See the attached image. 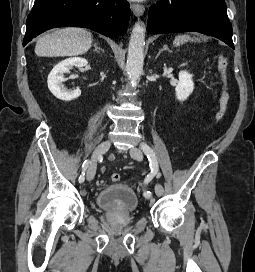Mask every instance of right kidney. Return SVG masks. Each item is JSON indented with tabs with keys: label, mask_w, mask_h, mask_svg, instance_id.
I'll return each mask as SVG.
<instances>
[{
	"label": "right kidney",
	"mask_w": 255,
	"mask_h": 272,
	"mask_svg": "<svg viewBox=\"0 0 255 272\" xmlns=\"http://www.w3.org/2000/svg\"><path fill=\"white\" fill-rule=\"evenodd\" d=\"M87 64L88 61L81 57L68 58L59 62L48 75L47 83L51 93L63 101H71L78 98L81 95L80 89L69 91L63 87L62 83L65 81L64 74L69 73L73 66L84 67Z\"/></svg>",
	"instance_id": "obj_1"
}]
</instances>
